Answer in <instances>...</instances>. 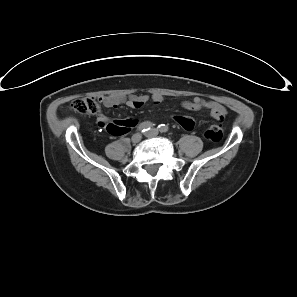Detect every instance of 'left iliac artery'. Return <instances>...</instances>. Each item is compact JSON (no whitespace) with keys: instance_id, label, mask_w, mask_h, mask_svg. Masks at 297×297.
<instances>
[{"instance_id":"obj_1","label":"left iliac artery","mask_w":297,"mask_h":297,"mask_svg":"<svg viewBox=\"0 0 297 297\" xmlns=\"http://www.w3.org/2000/svg\"><path fill=\"white\" fill-rule=\"evenodd\" d=\"M158 128H159V131L162 132V133L166 132L168 130V127L166 125H164V124L159 125Z\"/></svg>"}]
</instances>
